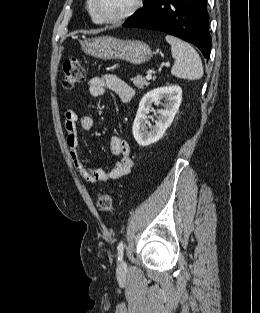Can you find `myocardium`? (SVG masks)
<instances>
[{"label":"myocardium","instance_id":"myocardium-1","mask_svg":"<svg viewBox=\"0 0 260 313\" xmlns=\"http://www.w3.org/2000/svg\"><path fill=\"white\" fill-rule=\"evenodd\" d=\"M142 6V0H133L131 7L117 17H104L98 10V0H92V9L100 23L119 24L133 16Z\"/></svg>","mask_w":260,"mask_h":313}]
</instances>
